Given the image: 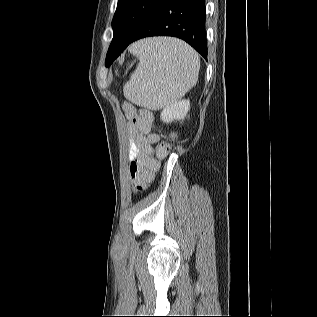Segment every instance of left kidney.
I'll return each mask as SVG.
<instances>
[{"instance_id":"obj_1","label":"left kidney","mask_w":317,"mask_h":317,"mask_svg":"<svg viewBox=\"0 0 317 317\" xmlns=\"http://www.w3.org/2000/svg\"><path fill=\"white\" fill-rule=\"evenodd\" d=\"M190 109L189 100H180L166 106L161 112V120L171 123L174 120H183Z\"/></svg>"}]
</instances>
